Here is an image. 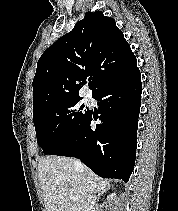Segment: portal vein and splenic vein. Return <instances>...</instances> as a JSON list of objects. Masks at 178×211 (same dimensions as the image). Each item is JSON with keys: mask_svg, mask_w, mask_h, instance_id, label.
<instances>
[{"mask_svg": "<svg viewBox=\"0 0 178 211\" xmlns=\"http://www.w3.org/2000/svg\"><path fill=\"white\" fill-rule=\"evenodd\" d=\"M70 199H71V200H75V197H74V196H71Z\"/></svg>", "mask_w": 178, "mask_h": 211, "instance_id": "portal-vein-and-splenic-vein-1", "label": "portal vein and splenic vein"}]
</instances>
